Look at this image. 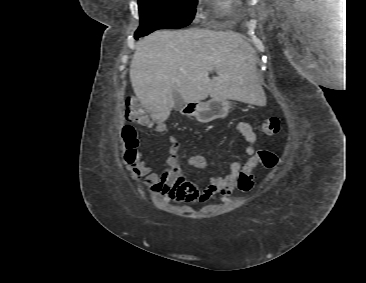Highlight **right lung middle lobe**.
<instances>
[{
    "label": "right lung middle lobe",
    "instance_id": "1",
    "mask_svg": "<svg viewBox=\"0 0 366 283\" xmlns=\"http://www.w3.org/2000/svg\"><path fill=\"white\" fill-rule=\"evenodd\" d=\"M197 0H138L140 26L135 32L139 37L162 28H182L191 23L196 12Z\"/></svg>",
    "mask_w": 366,
    "mask_h": 283
}]
</instances>
